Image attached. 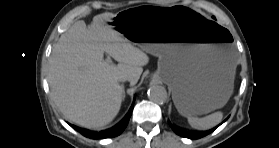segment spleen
<instances>
[{
	"label": "spleen",
	"mask_w": 279,
	"mask_h": 148,
	"mask_svg": "<svg viewBox=\"0 0 279 148\" xmlns=\"http://www.w3.org/2000/svg\"><path fill=\"white\" fill-rule=\"evenodd\" d=\"M223 118V113L218 111L203 118L188 117L189 124L196 129L206 130L218 125Z\"/></svg>",
	"instance_id": "3e777b00"
}]
</instances>
